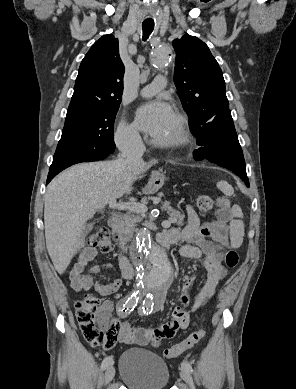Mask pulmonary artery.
I'll return each mask as SVG.
<instances>
[{
  "label": "pulmonary artery",
  "instance_id": "e3ab8cb5",
  "mask_svg": "<svg viewBox=\"0 0 296 389\" xmlns=\"http://www.w3.org/2000/svg\"><path fill=\"white\" fill-rule=\"evenodd\" d=\"M166 86V79L164 76H157L153 82L143 87L140 91V95L143 97H150L157 94Z\"/></svg>",
  "mask_w": 296,
  "mask_h": 389
}]
</instances>
